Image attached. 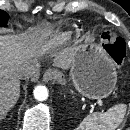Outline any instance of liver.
Masks as SVG:
<instances>
[{
	"label": "liver",
	"instance_id": "1",
	"mask_svg": "<svg viewBox=\"0 0 130 130\" xmlns=\"http://www.w3.org/2000/svg\"><path fill=\"white\" fill-rule=\"evenodd\" d=\"M32 44L35 33L28 35ZM29 50L22 42L0 37V121L15 106L20 95V75L22 66L27 62ZM72 62V56H65L57 66L66 69Z\"/></svg>",
	"mask_w": 130,
	"mask_h": 130
}]
</instances>
